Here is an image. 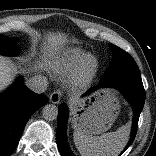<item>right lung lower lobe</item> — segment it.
Instances as JSON below:
<instances>
[{
  "instance_id": "1",
  "label": "right lung lower lobe",
  "mask_w": 156,
  "mask_h": 156,
  "mask_svg": "<svg viewBox=\"0 0 156 156\" xmlns=\"http://www.w3.org/2000/svg\"><path fill=\"white\" fill-rule=\"evenodd\" d=\"M19 79L0 95V156H10L16 148L26 122L48 102L44 95L22 86Z\"/></svg>"
}]
</instances>
